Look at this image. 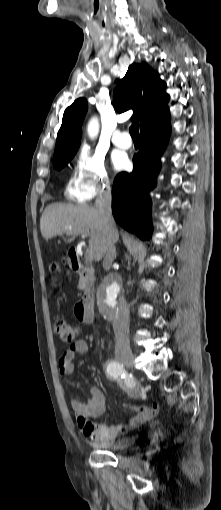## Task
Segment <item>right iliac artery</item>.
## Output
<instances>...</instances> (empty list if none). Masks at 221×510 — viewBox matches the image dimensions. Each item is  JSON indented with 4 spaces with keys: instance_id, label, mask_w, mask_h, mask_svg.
<instances>
[{
    "instance_id": "1",
    "label": "right iliac artery",
    "mask_w": 221,
    "mask_h": 510,
    "mask_svg": "<svg viewBox=\"0 0 221 510\" xmlns=\"http://www.w3.org/2000/svg\"><path fill=\"white\" fill-rule=\"evenodd\" d=\"M107 373L114 378H124L126 371L117 360H112L107 364Z\"/></svg>"
}]
</instances>
